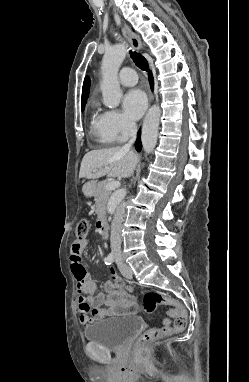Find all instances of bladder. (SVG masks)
<instances>
[{
  "label": "bladder",
  "mask_w": 249,
  "mask_h": 382,
  "mask_svg": "<svg viewBox=\"0 0 249 382\" xmlns=\"http://www.w3.org/2000/svg\"><path fill=\"white\" fill-rule=\"evenodd\" d=\"M142 325L135 315L114 316L93 322L84 328L87 341L98 344L105 350L118 351Z\"/></svg>",
  "instance_id": "31cf9c89"
}]
</instances>
